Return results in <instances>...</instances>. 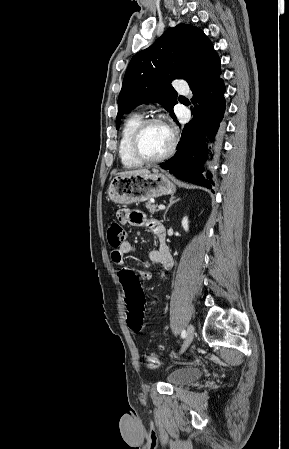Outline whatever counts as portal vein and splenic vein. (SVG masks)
Listing matches in <instances>:
<instances>
[{"instance_id": "18ae733b", "label": "portal vein and splenic vein", "mask_w": 289, "mask_h": 449, "mask_svg": "<svg viewBox=\"0 0 289 449\" xmlns=\"http://www.w3.org/2000/svg\"><path fill=\"white\" fill-rule=\"evenodd\" d=\"M158 208H159L160 210H164V209H165V206L162 205V204H160V205L158 206Z\"/></svg>"}]
</instances>
